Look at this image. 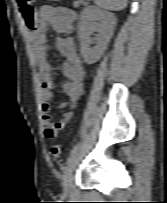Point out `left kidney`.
<instances>
[{"mask_svg": "<svg viewBox=\"0 0 167 203\" xmlns=\"http://www.w3.org/2000/svg\"><path fill=\"white\" fill-rule=\"evenodd\" d=\"M115 23L116 17L113 13L94 6H89L84 9L78 25V34L80 38L81 55L87 64L96 63L103 55L113 35ZM96 30L100 32L96 38L97 45L90 48V44L92 43L90 35Z\"/></svg>", "mask_w": 167, "mask_h": 203, "instance_id": "obj_1", "label": "left kidney"}]
</instances>
